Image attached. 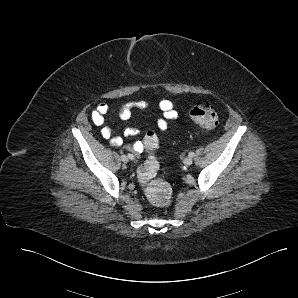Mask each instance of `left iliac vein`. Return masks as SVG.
Listing matches in <instances>:
<instances>
[{"label": "left iliac vein", "instance_id": "obj_1", "mask_svg": "<svg viewBox=\"0 0 298 298\" xmlns=\"http://www.w3.org/2000/svg\"><path fill=\"white\" fill-rule=\"evenodd\" d=\"M193 160H192V157H186L184 158L183 160V163L186 165V166H190L192 164Z\"/></svg>", "mask_w": 298, "mask_h": 298}]
</instances>
